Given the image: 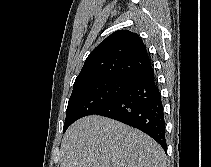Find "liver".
<instances>
[{
    "instance_id": "6515ba94",
    "label": "liver",
    "mask_w": 211,
    "mask_h": 167,
    "mask_svg": "<svg viewBox=\"0 0 211 167\" xmlns=\"http://www.w3.org/2000/svg\"><path fill=\"white\" fill-rule=\"evenodd\" d=\"M61 167H166L161 146L148 135L116 120L91 115L63 136Z\"/></svg>"
}]
</instances>
